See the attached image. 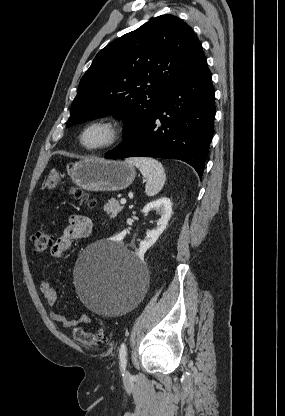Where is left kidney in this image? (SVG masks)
I'll return each instance as SVG.
<instances>
[{
    "instance_id": "left-kidney-1",
    "label": "left kidney",
    "mask_w": 285,
    "mask_h": 416,
    "mask_svg": "<svg viewBox=\"0 0 285 416\" xmlns=\"http://www.w3.org/2000/svg\"><path fill=\"white\" fill-rule=\"evenodd\" d=\"M151 210H156L159 212L161 218L157 222V228L147 232L145 240L140 242V246L137 250L138 256H144L145 252L155 244L162 232H164L172 214V202L169 198H160V200H155V202H150L145 208H143L144 214H148ZM124 234V232H122Z\"/></svg>"
}]
</instances>
